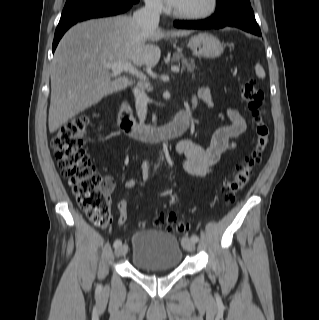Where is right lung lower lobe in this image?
<instances>
[{"mask_svg": "<svg viewBox=\"0 0 319 320\" xmlns=\"http://www.w3.org/2000/svg\"><path fill=\"white\" fill-rule=\"evenodd\" d=\"M137 2H139V0H105L103 2H97L80 8L68 15L61 16V19L55 31L53 52L63 34L75 23L90 18H98L124 13Z\"/></svg>", "mask_w": 319, "mask_h": 320, "instance_id": "98d812e1", "label": "right lung lower lobe"}]
</instances>
